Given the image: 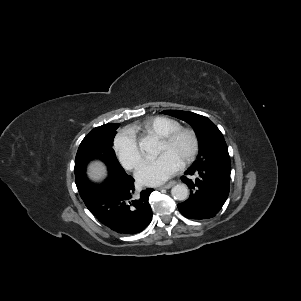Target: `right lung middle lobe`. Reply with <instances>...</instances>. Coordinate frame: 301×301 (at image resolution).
Listing matches in <instances>:
<instances>
[{
	"label": "right lung middle lobe",
	"instance_id": "right-lung-middle-lobe-1",
	"mask_svg": "<svg viewBox=\"0 0 301 301\" xmlns=\"http://www.w3.org/2000/svg\"><path fill=\"white\" fill-rule=\"evenodd\" d=\"M118 127V123L96 127L82 140L75 158L74 172L77 185H81L87 180L86 165L93 159L102 160L107 165L108 170L124 171L112 148Z\"/></svg>",
	"mask_w": 301,
	"mask_h": 301
}]
</instances>
